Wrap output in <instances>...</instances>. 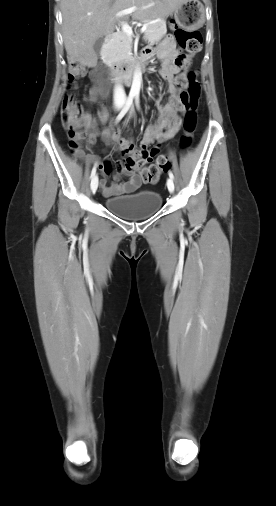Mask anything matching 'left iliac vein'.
<instances>
[{
  "instance_id": "left-iliac-vein-1",
  "label": "left iliac vein",
  "mask_w": 276,
  "mask_h": 506,
  "mask_svg": "<svg viewBox=\"0 0 276 506\" xmlns=\"http://www.w3.org/2000/svg\"><path fill=\"white\" fill-rule=\"evenodd\" d=\"M131 110L133 111V108H131ZM167 187H168L169 192H171V193L174 192L175 186H174V182L171 178H169L167 180Z\"/></svg>"
}]
</instances>
